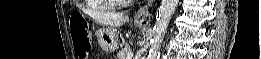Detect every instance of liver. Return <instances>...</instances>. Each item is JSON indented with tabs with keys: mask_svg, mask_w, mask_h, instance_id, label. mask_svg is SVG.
I'll list each match as a JSON object with an SVG mask.
<instances>
[{
	"mask_svg": "<svg viewBox=\"0 0 261 59\" xmlns=\"http://www.w3.org/2000/svg\"><path fill=\"white\" fill-rule=\"evenodd\" d=\"M95 20L109 27H118L125 24L128 17L121 13H97L94 15Z\"/></svg>",
	"mask_w": 261,
	"mask_h": 59,
	"instance_id": "1",
	"label": "liver"
}]
</instances>
